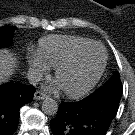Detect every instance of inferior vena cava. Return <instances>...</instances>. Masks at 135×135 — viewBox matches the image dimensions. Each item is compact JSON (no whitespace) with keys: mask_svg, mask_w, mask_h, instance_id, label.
Returning <instances> with one entry per match:
<instances>
[{"mask_svg":"<svg viewBox=\"0 0 135 135\" xmlns=\"http://www.w3.org/2000/svg\"><path fill=\"white\" fill-rule=\"evenodd\" d=\"M41 77H42L41 74L36 72V71H34V70L33 71H29L27 73V78H28L29 83L31 85L38 84V82L41 80Z\"/></svg>","mask_w":135,"mask_h":135,"instance_id":"obj_1","label":"inferior vena cava"}]
</instances>
